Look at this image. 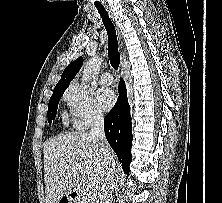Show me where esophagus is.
<instances>
[{
	"instance_id": "obj_1",
	"label": "esophagus",
	"mask_w": 222,
	"mask_h": 203,
	"mask_svg": "<svg viewBox=\"0 0 222 203\" xmlns=\"http://www.w3.org/2000/svg\"><path fill=\"white\" fill-rule=\"evenodd\" d=\"M108 11H109V14H110L111 18L114 20L113 13L110 10H108ZM116 31H117V36H118L119 43H121L122 42V36H121V33H120L117 26H116ZM119 50H120V57H121V64H120V68H119V73H120V75H123V63L126 59V54H125L124 50L122 49L121 44H120Z\"/></svg>"
}]
</instances>
